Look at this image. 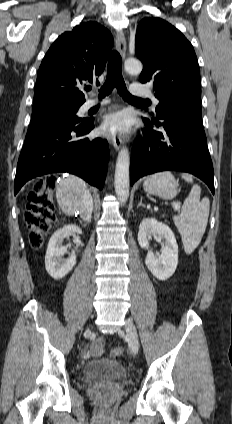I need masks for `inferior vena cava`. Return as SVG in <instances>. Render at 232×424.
<instances>
[{
  "label": "inferior vena cava",
  "instance_id": "602c4592",
  "mask_svg": "<svg viewBox=\"0 0 232 424\" xmlns=\"http://www.w3.org/2000/svg\"><path fill=\"white\" fill-rule=\"evenodd\" d=\"M93 210V200L89 193L85 194L82 198L79 213L81 218L85 221H89L91 219V214Z\"/></svg>",
  "mask_w": 232,
  "mask_h": 424
}]
</instances>
